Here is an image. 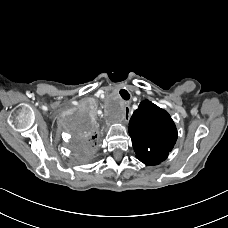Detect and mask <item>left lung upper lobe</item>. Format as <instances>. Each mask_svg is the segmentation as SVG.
<instances>
[{
    "label": "left lung upper lobe",
    "instance_id": "5c2ea615",
    "mask_svg": "<svg viewBox=\"0 0 228 228\" xmlns=\"http://www.w3.org/2000/svg\"><path fill=\"white\" fill-rule=\"evenodd\" d=\"M128 130L136 157L146 165L164 161L177 140L170 115L149 100L142 101L134 111Z\"/></svg>",
    "mask_w": 228,
    "mask_h": 228
}]
</instances>
